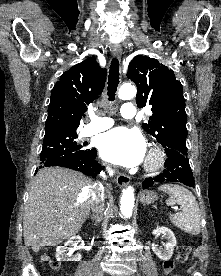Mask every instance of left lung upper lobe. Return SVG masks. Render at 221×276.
<instances>
[{
	"instance_id": "left-lung-upper-lobe-1",
	"label": "left lung upper lobe",
	"mask_w": 221,
	"mask_h": 276,
	"mask_svg": "<svg viewBox=\"0 0 221 276\" xmlns=\"http://www.w3.org/2000/svg\"><path fill=\"white\" fill-rule=\"evenodd\" d=\"M127 76L138 88V107L152 105L153 114L142 128L157 139L166 154L187 155L185 99L173 71L156 59L138 55L130 62Z\"/></svg>"
}]
</instances>
